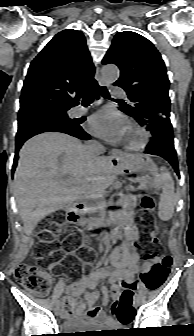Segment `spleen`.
<instances>
[{
    "label": "spleen",
    "instance_id": "1",
    "mask_svg": "<svg viewBox=\"0 0 194 336\" xmlns=\"http://www.w3.org/2000/svg\"><path fill=\"white\" fill-rule=\"evenodd\" d=\"M161 178L163 182L162 194L159 203V217L163 221L172 218L177 203V194L175 193L174 181L166 168H161Z\"/></svg>",
    "mask_w": 194,
    "mask_h": 336
}]
</instances>
